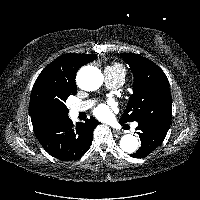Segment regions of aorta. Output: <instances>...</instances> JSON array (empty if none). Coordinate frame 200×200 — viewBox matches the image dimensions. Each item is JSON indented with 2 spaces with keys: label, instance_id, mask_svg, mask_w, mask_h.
Wrapping results in <instances>:
<instances>
[{
  "label": "aorta",
  "instance_id": "762f6f07",
  "mask_svg": "<svg viewBox=\"0 0 200 200\" xmlns=\"http://www.w3.org/2000/svg\"><path fill=\"white\" fill-rule=\"evenodd\" d=\"M104 77L101 71L94 66H86L79 70L77 83L86 91H94L103 83ZM139 147L138 138L132 134H126L120 139V148L126 153H134Z\"/></svg>",
  "mask_w": 200,
  "mask_h": 200
}]
</instances>
